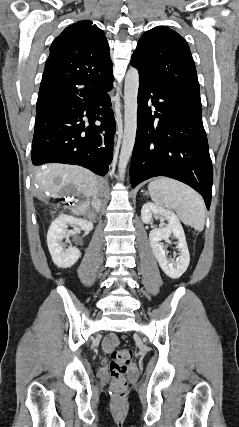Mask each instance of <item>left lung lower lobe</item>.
<instances>
[{
	"instance_id": "obj_1",
	"label": "left lung lower lobe",
	"mask_w": 239,
	"mask_h": 427,
	"mask_svg": "<svg viewBox=\"0 0 239 427\" xmlns=\"http://www.w3.org/2000/svg\"><path fill=\"white\" fill-rule=\"evenodd\" d=\"M137 121L132 188L151 177H170L199 192L209 209L213 168L200 98L140 76Z\"/></svg>"
}]
</instances>
